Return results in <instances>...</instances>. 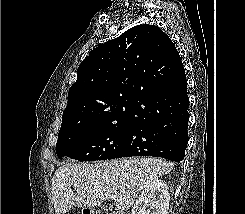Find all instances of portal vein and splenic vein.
Wrapping results in <instances>:
<instances>
[{
    "label": "portal vein and splenic vein",
    "mask_w": 245,
    "mask_h": 214,
    "mask_svg": "<svg viewBox=\"0 0 245 214\" xmlns=\"http://www.w3.org/2000/svg\"><path fill=\"white\" fill-rule=\"evenodd\" d=\"M117 198H118L117 195H112V197H111V199H113V200H115V199H117Z\"/></svg>",
    "instance_id": "1"
}]
</instances>
